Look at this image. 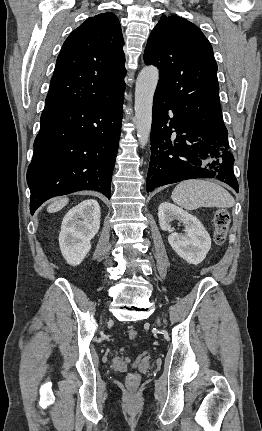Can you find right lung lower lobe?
I'll return each mask as SVG.
<instances>
[{
	"mask_svg": "<svg viewBox=\"0 0 262 431\" xmlns=\"http://www.w3.org/2000/svg\"><path fill=\"white\" fill-rule=\"evenodd\" d=\"M124 91L98 104L45 106L28 167L30 212L54 196L96 190L110 199Z\"/></svg>",
	"mask_w": 262,
	"mask_h": 431,
	"instance_id": "1",
	"label": "right lung lower lobe"
}]
</instances>
